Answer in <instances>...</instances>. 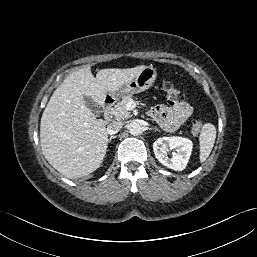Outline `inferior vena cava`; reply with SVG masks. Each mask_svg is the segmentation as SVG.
<instances>
[{
  "instance_id": "obj_1",
  "label": "inferior vena cava",
  "mask_w": 257,
  "mask_h": 257,
  "mask_svg": "<svg viewBox=\"0 0 257 257\" xmlns=\"http://www.w3.org/2000/svg\"><path fill=\"white\" fill-rule=\"evenodd\" d=\"M123 126V123L120 121H113L107 127V133L110 135L116 134Z\"/></svg>"
}]
</instances>
